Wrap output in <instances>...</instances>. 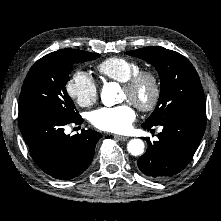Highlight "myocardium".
Segmentation results:
<instances>
[{
  "mask_svg": "<svg viewBox=\"0 0 221 221\" xmlns=\"http://www.w3.org/2000/svg\"><path fill=\"white\" fill-rule=\"evenodd\" d=\"M148 82L151 87V95L145 102L132 101V103L142 112H150L156 108L161 96V85L158 76L149 70H141L127 81L122 83V88L129 94L134 95L140 85Z\"/></svg>",
  "mask_w": 221,
  "mask_h": 221,
  "instance_id": "1",
  "label": "myocardium"
}]
</instances>
